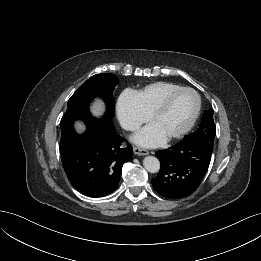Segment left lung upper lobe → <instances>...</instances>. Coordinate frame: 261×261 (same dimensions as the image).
I'll return each mask as SVG.
<instances>
[{
    "label": "left lung upper lobe",
    "mask_w": 261,
    "mask_h": 261,
    "mask_svg": "<svg viewBox=\"0 0 261 261\" xmlns=\"http://www.w3.org/2000/svg\"><path fill=\"white\" fill-rule=\"evenodd\" d=\"M215 135L216 126L213 120V111L209 109L204 112L199 129L184 138L205 140L213 148Z\"/></svg>",
    "instance_id": "1"
}]
</instances>
